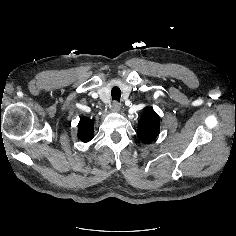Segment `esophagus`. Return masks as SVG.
Wrapping results in <instances>:
<instances>
[{"label":"esophagus","instance_id":"esophagus-1","mask_svg":"<svg viewBox=\"0 0 236 236\" xmlns=\"http://www.w3.org/2000/svg\"><path fill=\"white\" fill-rule=\"evenodd\" d=\"M112 112H119L120 111V104L117 101H114L111 105Z\"/></svg>","mask_w":236,"mask_h":236}]
</instances>
